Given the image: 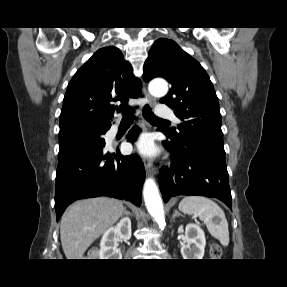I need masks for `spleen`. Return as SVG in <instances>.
Listing matches in <instances>:
<instances>
[{
  "instance_id": "obj_1",
  "label": "spleen",
  "mask_w": 287,
  "mask_h": 287,
  "mask_svg": "<svg viewBox=\"0 0 287 287\" xmlns=\"http://www.w3.org/2000/svg\"><path fill=\"white\" fill-rule=\"evenodd\" d=\"M179 209L189 215L199 216L210 234L223 246H228V222L224 211L213 200L203 196H186L179 203ZM214 218H218L219 221H214Z\"/></svg>"
}]
</instances>
